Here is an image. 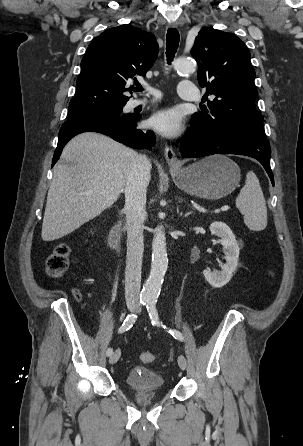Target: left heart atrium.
<instances>
[{"label": "left heart atrium", "instance_id": "1", "mask_svg": "<svg viewBox=\"0 0 303 446\" xmlns=\"http://www.w3.org/2000/svg\"><path fill=\"white\" fill-rule=\"evenodd\" d=\"M149 125L164 136L174 137L183 129V118L177 109L168 108L156 112L150 118Z\"/></svg>", "mask_w": 303, "mask_h": 446}]
</instances>
